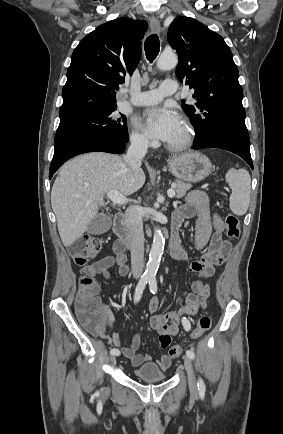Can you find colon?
Segmentation results:
<instances>
[{
	"label": "colon",
	"instance_id": "1",
	"mask_svg": "<svg viewBox=\"0 0 283 434\" xmlns=\"http://www.w3.org/2000/svg\"><path fill=\"white\" fill-rule=\"evenodd\" d=\"M225 230L229 237L236 238L240 235V221L228 214L225 218ZM101 248V241L94 236L85 235L77 239L70 247V255L74 263L83 266L91 261ZM99 286L93 276L82 271L79 277L78 296L76 300V312L79 321L91 333H98L103 326L102 305L99 299ZM211 327V318L203 314L198 319L197 325L191 333L192 339H197ZM182 353V347L174 345L169 349V356L177 358Z\"/></svg>",
	"mask_w": 283,
	"mask_h": 434
}]
</instances>
